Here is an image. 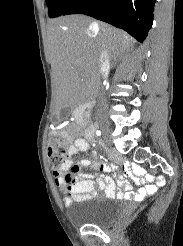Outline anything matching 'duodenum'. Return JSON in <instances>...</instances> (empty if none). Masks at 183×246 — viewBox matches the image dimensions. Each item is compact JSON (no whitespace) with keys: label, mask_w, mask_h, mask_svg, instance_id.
I'll return each instance as SVG.
<instances>
[{"label":"duodenum","mask_w":183,"mask_h":246,"mask_svg":"<svg viewBox=\"0 0 183 246\" xmlns=\"http://www.w3.org/2000/svg\"><path fill=\"white\" fill-rule=\"evenodd\" d=\"M89 107V104H78L74 111H70V116H75L77 121L82 122L84 112L86 109H89ZM86 135L87 138H89V141H96V136H94V129L92 126L87 127Z\"/></svg>","instance_id":"obj_1"}]
</instances>
